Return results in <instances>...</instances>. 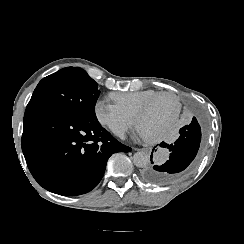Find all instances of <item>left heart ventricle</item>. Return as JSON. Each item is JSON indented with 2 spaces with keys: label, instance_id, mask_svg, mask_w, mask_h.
I'll return each mask as SVG.
<instances>
[{
  "label": "left heart ventricle",
  "instance_id": "left-heart-ventricle-1",
  "mask_svg": "<svg viewBox=\"0 0 244 244\" xmlns=\"http://www.w3.org/2000/svg\"><path fill=\"white\" fill-rule=\"evenodd\" d=\"M176 109L177 102L174 98L165 97L164 99H159L144 115V128L154 134H160L165 128V121Z\"/></svg>",
  "mask_w": 244,
  "mask_h": 244
}]
</instances>
